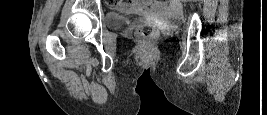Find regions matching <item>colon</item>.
I'll return each instance as SVG.
<instances>
[{"instance_id": "5ec220e1", "label": "colon", "mask_w": 267, "mask_h": 115, "mask_svg": "<svg viewBox=\"0 0 267 115\" xmlns=\"http://www.w3.org/2000/svg\"><path fill=\"white\" fill-rule=\"evenodd\" d=\"M135 34L141 41L151 42L158 38L159 31L152 25H145L139 28Z\"/></svg>"}]
</instances>
